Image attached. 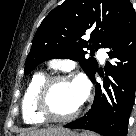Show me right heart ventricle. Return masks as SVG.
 <instances>
[{
    "label": "right heart ventricle",
    "instance_id": "right-heart-ventricle-1",
    "mask_svg": "<svg viewBox=\"0 0 136 136\" xmlns=\"http://www.w3.org/2000/svg\"><path fill=\"white\" fill-rule=\"evenodd\" d=\"M47 75L44 72L35 73L29 80L22 97V115L27 124H42L44 119L35 109L37 91Z\"/></svg>",
    "mask_w": 136,
    "mask_h": 136
}]
</instances>
